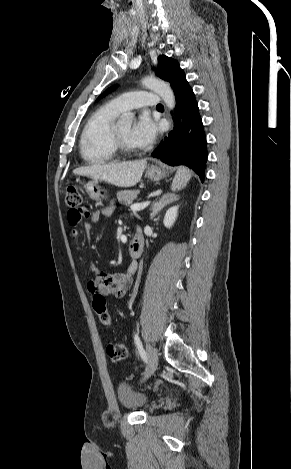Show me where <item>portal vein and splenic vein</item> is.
Instances as JSON below:
<instances>
[{"instance_id": "1", "label": "portal vein and splenic vein", "mask_w": 291, "mask_h": 469, "mask_svg": "<svg viewBox=\"0 0 291 469\" xmlns=\"http://www.w3.org/2000/svg\"><path fill=\"white\" fill-rule=\"evenodd\" d=\"M149 204L150 202L136 203V204H132L130 208L132 211H140L146 208Z\"/></svg>"}]
</instances>
